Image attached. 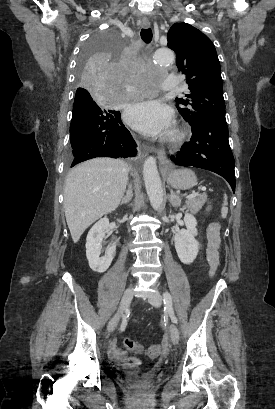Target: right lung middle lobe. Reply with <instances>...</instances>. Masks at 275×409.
<instances>
[{"mask_svg":"<svg viewBox=\"0 0 275 409\" xmlns=\"http://www.w3.org/2000/svg\"><path fill=\"white\" fill-rule=\"evenodd\" d=\"M121 30H97L85 43L83 57L74 71L79 89L73 104L70 124L71 146L61 176L67 178L80 162L96 157L127 161L136 156L137 145L120 117L125 96H110L106 91H129L130 83L122 82V70H116V51L126 48ZM131 167L140 169L145 162L134 160Z\"/></svg>","mask_w":275,"mask_h":409,"instance_id":"1","label":"right lung middle lobe"}]
</instances>
